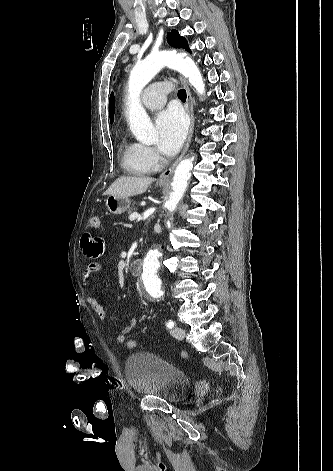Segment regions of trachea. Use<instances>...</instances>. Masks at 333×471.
<instances>
[{
    "label": "trachea",
    "instance_id": "3493384b",
    "mask_svg": "<svg viewBox=\"0 0 333 471\" xmlns=\"http://www.w3.org/2000/svg\"><path fill=\"white\" fill-rule=\"evenodd\" d=\"M186 97H187V95H186V90H185V89H180V90L178 91V98H179L181 101L185 102V101H186Z\"/></svg>",
    "mask_w": 333,
    "mask_h": 471
}]
</instances>
